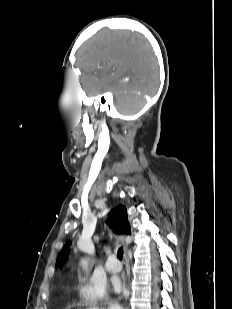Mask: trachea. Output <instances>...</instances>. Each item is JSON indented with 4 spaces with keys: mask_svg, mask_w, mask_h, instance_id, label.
<instances>
[{
    "mask_svg": "<svg viewBox=\"0 0 232 309\" xmlns=\"http://www.w3.org/2000/svg\"><path fill=\"white\" fill-rule=\"evenodd\" d=\"M117 257H118L119 260H122V258H123V247H120L118 249Z\"/></svg>",
    "mask_w": 232,
    "mask_h": 309,
    "instance_id": "3493384b",
    "label": "trachea"
}]
</instances>
